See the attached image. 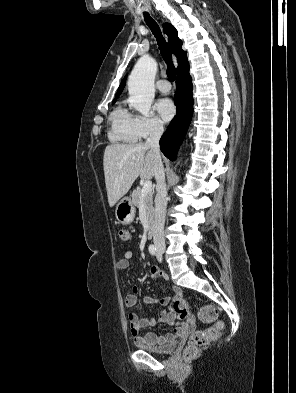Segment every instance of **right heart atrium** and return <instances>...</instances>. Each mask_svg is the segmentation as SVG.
I'll return each mask as SVG.
<instances>
[{"mask_svg":"<svg viewBox=\"0 0 296 393\" xmlns=\"http://www.w3.org/2000/svg\"><path fill=\"white\" fill-rule=\"evenodd\" d=\"M134 123L139 139H146L160 135L164 130L162 121L155 115L151 114L134 116Z\"/></svg>","mask_w":296,"mask_h":393,"instance_id":"d8ad5b80","label":"right heart atrium"}]
</instances>
